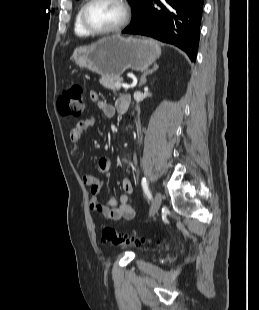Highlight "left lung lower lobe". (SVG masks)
<instances>
[{"instance_id": "obj_1", "label": "left lung lower lobe", "mask_w": 259, "mask_h": 310, "mask_svg": "<svg viewBox=\"0 0 259 310\" xmlns=\"http://www.w3.org/2000/svg\"><path fill=\"white\" fill-rule=\"evenodd\" d=\"M203 2L204 0H147L136 20L122 33L145 35L174 44L195 61Z\"/></svg>"}]
</instances>
